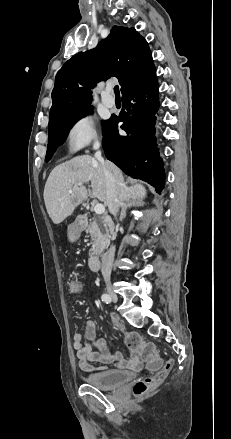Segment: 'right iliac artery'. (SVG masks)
<instances>
[{"instance_id": "1", "label": "right iliac artery", "mask_w": 231, "mask_h": 439, "mask_svg": "<svg viewBox=\"0 0 231 439\" xmlns=\"http://www.w3.org/2000/svg\"><path fill=\"white\" fill-rule=\"evenodd\" d=\"M101 299H102L103 302H105L107 304L111 302V298H110V296L108 294H103L101 296Z\"/></svg>"}]
</instances>
